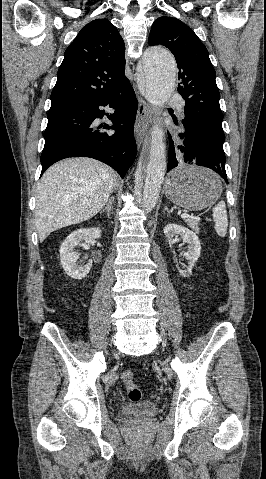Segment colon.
<instances>
[{"label": "colon", "instance_id": "1", "mask_svg": "<svg viewBox=\"0 0 266 479\" xmlns=\"http://www.w3.org/2000/svg\"><path fill=\"white\" fill-rule=\"evenodd\" d=\"M121 379L128 388V398L132 402H137L141 399V391L134 383V376L130 370H125L121 373Z\"/></svg>", "mask_w": 266, "mask_h": 479}]
</instances>
